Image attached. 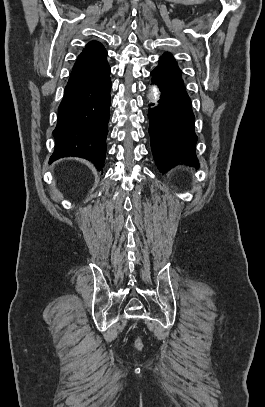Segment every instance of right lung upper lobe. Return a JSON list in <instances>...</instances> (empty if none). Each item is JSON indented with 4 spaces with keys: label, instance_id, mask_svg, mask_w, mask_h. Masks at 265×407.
<instances>
[{
    "label": "right lung upper lobe",
    "instance_id": "1",
    "mask_svg": "<svg viewBox=\"0 0 265 407\" xmlns=\"http://www.w3.org/2000/svg\"><path fill=\"white\" fill-rule=\"evenodd\" d=\"M106 50L104 46L98 41H91L87 43L86 47L83 49V52L78 56L80 58H94L98 55L105 53ZM77 59V60H78Z\"/></svg>",
    "mask_w": 265,
    "mask_h": 407
}]
</instances>
